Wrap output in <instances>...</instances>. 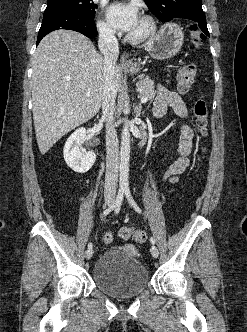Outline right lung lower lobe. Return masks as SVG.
Instances as JSON below:
<instances>
[{
  "label": "right lung lower lobe",
  "instance_id": "right-lung-lower-lobe-1",
  "mask_svg": "<svg viewBox=\"0 0 247 332\" xmlns=\"http://www.w3.org/2000/svg\"><path fill=\"white\" fill-rule=\"evenodd\" d=\"M58 29L74 30L89 38L97 36L94 17L72 11L46 12L38 33L37 45L44 36Z\"/></svg>",
  "mask_w": 247,
  "mask_h": 332
}]
</instances>
